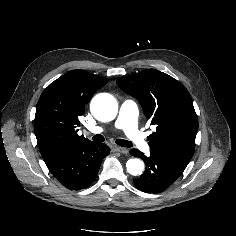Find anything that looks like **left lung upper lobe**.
Masks as SVG:
<instances>
[{
  "label": "left lung upper lobe",
  "instance_id": "5c2ea615",
  "mask_svg": "<svg viewBox=\"0 0 236 236\" xmlns=\"http://www.w3.org/2000/svg\"><path fill=\"white\" fill-rule=\"evenodd\" d=\"M117 84L138 99L146 118L156 125L149 146L188 164L195 150L198 118L185 86L155 69L120 77Z\"/></svg>",
  "mask_w": 236,
  "mask_h": 236
}]
</instances>
